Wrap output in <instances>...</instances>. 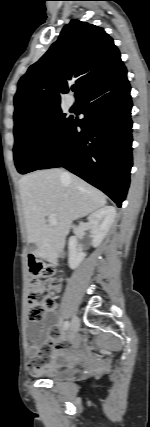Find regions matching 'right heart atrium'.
I'll return each instance as SVG.
<instances>
[{
    "instance_id": "obj_1",
    "label": "right heart atrium",
    "mask_w": 150,
    "mask_h": 427,
    "mask_svg": "<svg viewBox=\"0 0 150 427\" xmlns=\"http://www.w3.org/2000/svg\"><path fill=\"white\" fill-rule=\"evenodd\" d=\"M54 135L53 128L47 124L45 125L40 132V139L43 143H49Z\"/></svg>"
}]
</instances>
